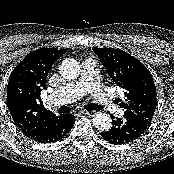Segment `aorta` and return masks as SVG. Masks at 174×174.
I'll return each instance as SVG.
<instances>
[{"mask_svg": "<svg viewBox=\"0 0 174 174\" xmlns=\"http://www.w3.org/2000/svg\"><path fill=\"white\" fill-rule=\"evenodd\" d=\"M59 72L64 79L74 80L80 75L81 69L76 60L66 59L61 63ZM111 122V117L107 113L96 112L93 118L94 126L100 130H109Z\"/></svg>", "mask_w": 174, "mask_h": 174, "instance_id": "762f6f07", "label": "aorta"}]
</instances>
